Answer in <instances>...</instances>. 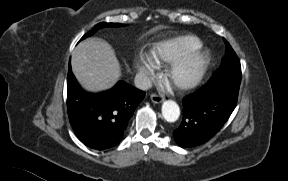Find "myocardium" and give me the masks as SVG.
<instances>
[{"label": "myocardium", "instance_id": "obj_1", "mask_svg": "<svg viewBox=\"0 0 288 181\" xmlns=\"http://www.w3.org/2000/svg\"><path fill=\"white\" fill-rule=\"evenodd\" d=\"M209 49L199 48L176 61L167 73L169 83L179 89L196 86L211 63Z\"/></svg>", "mask_w": 288, "mask_h": 181}]
</instances>
